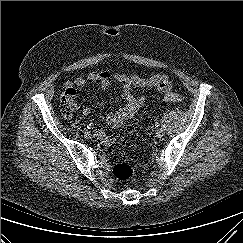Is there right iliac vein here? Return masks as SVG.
<instances>
[{"mask_svg": "<svg viewBox=\"0 0 243 243\" xmlns=\"http://www.w3.org/2000/svg\"><path fill=\"white\" fill-rule=\"evenodd\" d=\"M84 137L86 138V139H92V134H91V132L90 131H85L84 132Z\"/></svg>", "mask_w": 243, "mask_h": 243, "instance_id": "right-iliac-vein-1", "label": "right iliac vein"}]
</instances>
